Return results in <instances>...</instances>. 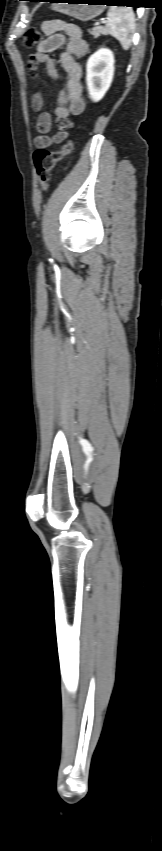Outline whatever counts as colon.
<instances>
[{"instance_id": "obj_1", "label": "colon", "mask_w": 162, "mask_h": 851, "mask_svg": "<svg viewBox=\"0 0 162 851\" xmlns=\"http://www.w3.org/2000/svg\"><path fill=\"white\" fill-rule=\"evenodd\" d=\"M43 41L41 31L36 28H30L26 31L23 39V45L26 48H31L40 44ZM73 150V142L68 141L64 146L57 151H49L46 148H38L33 155L34 165L36 168L38 180L43 191L48 188V181L51 177V172L54 167L70 154Z\"/></svg>"}]
</instances>
